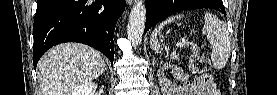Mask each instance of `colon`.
Masks as SVG:
<instances>
[{"label": "colon", "mask_w": 277, "mask_h": 95, "mask_svg": "<svg viewBox=\"0 0 277 95\" xmlns=\"http://www.w3.org/2000/svg\"><path fill=\"white\" fill-rule=\"evenodd\" d=\"M189 68L192 73L205 74L210 68V61L198 48H193ZM208 79L211 81V78Z\"/></svg>", "instance_id": "colon-1"}]
</instances>
